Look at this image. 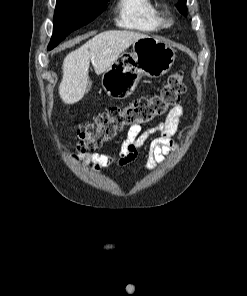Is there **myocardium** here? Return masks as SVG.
Instances as JSON below:
<instances>
[{
	"label": "myocardium",
	"instance_id": "obj_1",
	"mask_svg": "<svg viewBox=\"0 0 247 296\" xmlns=\"http://www.w3.org/2000/svg\"><path fill=\"white\" fill-rule=\"evenodd\" d=\"M159 19L163 27H170L173 24L172 14L167 9H163L159 12Z\"/></svg>",
	"mask_w": 247,
	"mask_h": 296
}]
</instances>
